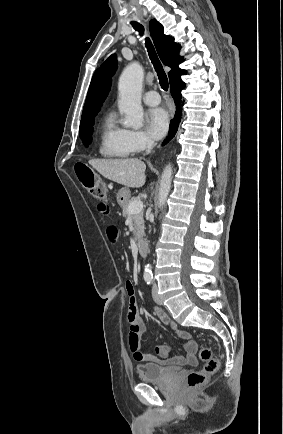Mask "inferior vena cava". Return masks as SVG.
I'll list each match as a JSON object with an SVG mask.
<instances>
[{
	"instance_id": "inferior-vena-cava-1",
	"label": "inferior vena cava",
	"mask_w": 283,
	"mask_h": 434,
	"mask_svg": "<svg viewBox=\"0 0 283 434\" xmlns=\"http://www.w3.org/2000/svg\"><path fill=\"white\" fill-rule=\"evenodd\" d=\"M154 145H155L154 141H152L151 139H149L147 141V150H146V152L150 153V151L152 150V148L154 147Z\"/></svg>"
}]
</instances>
